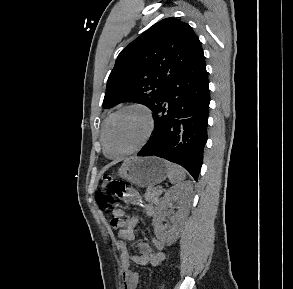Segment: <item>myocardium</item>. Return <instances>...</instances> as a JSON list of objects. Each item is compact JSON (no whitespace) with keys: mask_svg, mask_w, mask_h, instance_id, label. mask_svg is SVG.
I'll use <instances>...</instances> for the list:
<instances>
[{"mask_svg":"<svg viewBox=\"0 0 293 289\" xmlns=\"http://www.w3.org/2000/svg\"><path fill=\"white\" fill-rule=\"evenodd\" d=\"M132 109L139 110L144 114L145 119H146L145 134H144L142 140L138 143V145H136L134 148L130 149L129 151H126V152L119 154V155H110L107 150V141H106L108 128L110 127L111 123L118 115H120L121 113H123L127 110H132ZM154 130H155V118H154L152 110L148 106H146L142 103H131V104L124 105L121 108H119L118 110H116L114 113H112L105 123L104 129L102 132V137H101V141H102V145H103V152H104L105 156L110 159H122L127 156H130V155L140 151L148 143V141L150 140V138L152 137V135L154 133Z\"/></svg>","mask_w":293,"mask_h":289,"instance_id":"myocardium-1","label":"myocardium"}]
</instances>
